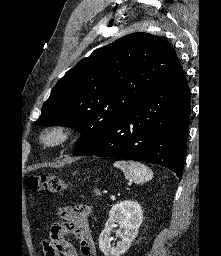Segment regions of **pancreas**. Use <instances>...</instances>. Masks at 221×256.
Returning a JSON list of instances; mask_svg holds the SVG:
<instances>
[{
  "label": "pancreas",
  "mask_w": 221,
  "mask_h": 256,
  "mask_svg": "<svg viewBox=\"0 0 221 256\" xmlns=\"http://www.w3.org/2000/svg\"><path fill=\"white\" fill-rule=\"evenodd\" d=\"M94 192H95V194H96V196H99L101 193H100V191L99 190H94Z\"/></svg>",
  "instance_id": "1"
}]
</instances>
